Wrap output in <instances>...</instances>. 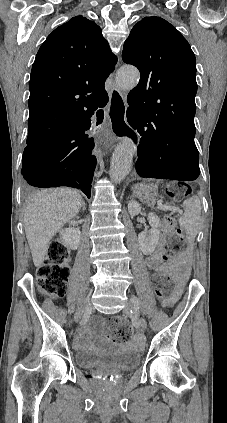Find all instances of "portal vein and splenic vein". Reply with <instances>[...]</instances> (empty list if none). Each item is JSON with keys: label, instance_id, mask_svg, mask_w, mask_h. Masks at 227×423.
Here are the masks:
<instances>
[{"label": "portal vein and splenic vein", "instance_id": "portal-vein-and-splenic-vein-1", "mask_svg": "<svg viewBox=\"0 0 227 423\" xmlns=\"http://www.w3.org/2000/svg\"><path fill=\"white\" fill-rule=\"evenodd\" d=\"M158 208H160L161 210H170L171 213H183V210L181 208H178L177 205H163V200H160L158 202Z\"/></svg>", "mask_w": 227, "mask_h": 423}]
</instances>
